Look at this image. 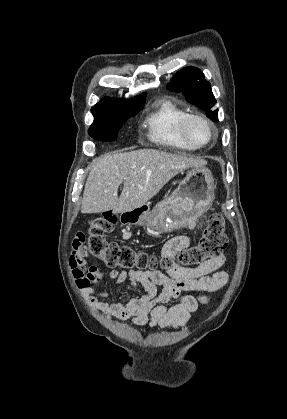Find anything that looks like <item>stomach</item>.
Segmentation results:
<instances>
[{
	"label": "stomach",
	"mask_w": 287,
	"mask_h": 419,
	"mask_svg": "<svg viewBox=\"0 0 287 419\" xmlns=\"http://www.w3.org/2000/svg\"><path fill=\"white\" fill-rule=\"evenodd\" d=\"M214 178L206 167H194L169 196L151 210L143 205L120 213L124 225H139L151 230L171 232L193 224L211 206Z\"/></svg>",
	"instance_id": "stomach-1"
}]
</instances>
